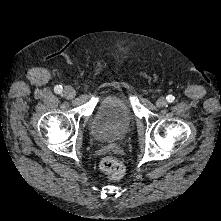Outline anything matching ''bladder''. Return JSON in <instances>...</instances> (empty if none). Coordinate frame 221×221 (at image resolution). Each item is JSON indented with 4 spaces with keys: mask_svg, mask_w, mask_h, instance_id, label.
Instances as JSON below:
<instances>
[{
    "mask_svg": "<svg viewBox=\"0 0 221 221\" xmlns=\"http://www.w3.org/2000/svg\"><path fill=\"white\" fill-rule=\"evenodd\" d=\"M133 124L130 108L119 98L105 100L89 122L91 136L100 142H118L129 133Z\"/></svg>",
    "mask_w": 221,
    "mask_h": 221,
    "instance_id": "31cf9c89",
    "label": "bladder"
}]
</instances>
